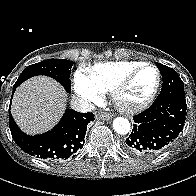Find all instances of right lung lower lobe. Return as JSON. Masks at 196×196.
I'll list each match as a JSON object with an SVG mask.
<instances>
[{"label":"right lung lower lobe","mask_w":196,"mask_h":196,"mask_svg":"<svg viewBox=\"0 0 196 196\" xmlns=\"http://www.w3.org/2000/svg\"><path fill=\"white\" fill-rule=\"evenodd\" d=\"M16 88H13V92ZM93 120V113L67 109L53 129L44 134L29 136L20 130L9 111V126L15 142L26 153L48 161L74 157L83 147L87 125Z\"/></svg>","instance_id":"1"}]
</instances>
